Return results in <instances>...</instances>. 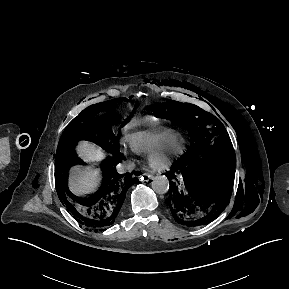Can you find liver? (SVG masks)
<instances>
[{
  "instance_id": "6515ba94",
  "label": "liver",
  "mask_w": 289,
  "mask_h": 289,
  "mask_svg": "<svg viewBox=\"0 0 289 289\" xmlns=\"http://www.w3.org/2000/svg\"><path fill=\"white\" fill-rule=\"evenodd\" d=\"M79 154L89 162L99 161L103 157L102 150L90 142H82L78 146ZM99 183V172L91 168L78 167L71 174L69 187L77 195L93 192Z\"/></svg>"
}]
</instances>
